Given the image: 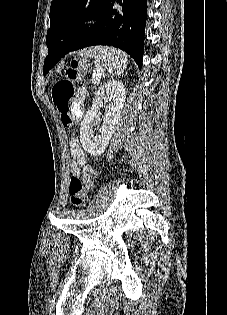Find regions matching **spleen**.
I'll return each mask as SVG.
<instances>
[{"label":"spleen","instance_id":"1","mask_svg":"<svg viewBox=\"0 0 227 315\" xmlns=\"http://www.w3.org/2000/svg\"><path fill=\"white\" fill-rule=\"evenodd\" d=\"M84 54L96 57L102 65L116 75L121 74L127 66V56L114 48H95Z\"/></svg>","mask_w":227,"mask_h":315}]
</instances>
